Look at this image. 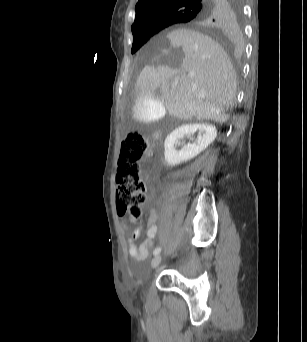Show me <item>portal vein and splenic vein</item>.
<instances>
[{
	"label": "portal vein and splenic vein",
	"instance_id": "obj_1",
	"mask_svg": "<svg viewBox=\"0 0 307 342\" xmlns=\"http://www.w3.org/2000/svg\"><path fill=\"white\" fill-rule=\"evenodd\" d=\"M189 76H192V74H189ZM177 82H171V88H176Z\"/></svg>",
	"mask_w": 307,
	"mask_h": 342
}]
</instances>
